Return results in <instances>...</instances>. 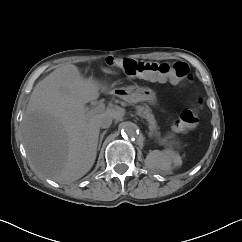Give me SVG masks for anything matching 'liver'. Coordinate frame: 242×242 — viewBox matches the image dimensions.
<instances>
[{"label": "liver", "mask_w": 242, "mask_h": 242, "mask_svg": "<svg viewBox=\"0 0 242 242\" xmlns=\"http://www.w3.org/2000/svg\"><path fill=\"white\" fill-rule=\"evenodd\" d=\"M99 90L108 91L72 64L55 69L36 84L23 116L22 135L37 173L67 183L90 171L97 155L100 117L107 114L119 121L125 115L120 107L88 114L85 104L98 99Z\"/></svg>", "instance_id": "obj_1"}]
</instances>
